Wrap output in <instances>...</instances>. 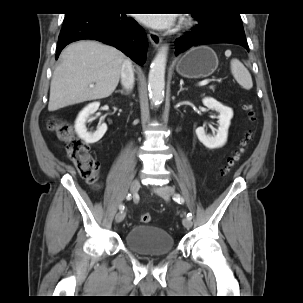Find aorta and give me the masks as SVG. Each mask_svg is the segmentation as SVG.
<instances>
[{
  "instance_id": "obj_1",
  "label": "aorta",
  "mask_w": 303,
  "mask_h": 303,
  "mask_svg": "<svg viewBox=\"0 0 303 303\" xmlns=\"http://www.w3.org/2000/svg\"><path fill=\"white\" fill-rule=\"evenodd\" d=\"M167 46H163L151 63L148 76V90L151 102L158 105L163 101L165 89V69Z\"/></svg>"
}]
</instances>
